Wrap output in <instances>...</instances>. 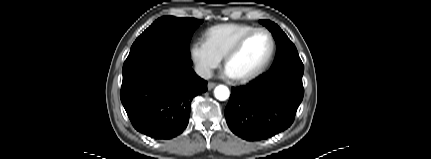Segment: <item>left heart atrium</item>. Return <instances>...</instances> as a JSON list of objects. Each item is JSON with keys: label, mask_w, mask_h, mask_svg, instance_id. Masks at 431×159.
I'll return each instance as SVG.
<instances>
[{"label": "left heart atrium", "mask_w": 431, "mask_h": 159, "mask_svg": "<svg viewBox=\"0 0 431 159\" xmlns=\"http://www.w3.org/2000/svg\"><path fill=\"white\" fill-rule=\"evenodd\" d=\"M225 74L226 76L230 77V78H234V76L232 75V73L228 70V68H226L225 70Z\"/></svg>", "instance_id": "obj_1"}]
</instances>
